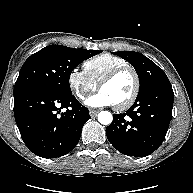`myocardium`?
Here are the masks:
<instances>
[{
    "mask_svg": "<svg viewBox=\"0 0 193 193\" xmlns=\"http://www.w3.org/2000/svg\"><path fill=\"white\" fill-rule=\"evenodd\" d=\"M126 71H130L133 74L134 89H133V92L130 95V97L125 102L118 104V105H115V109L119 110V111L126 110V109L130 108L135 103V101L139 95L140 88H141V81H140V76H139L137 70L129 64L123 65V66L117 67V68L113 69L112 71H110L109 73H107L98 83V88L101 89L104 85L111 82L117 76H119L121 73L126 72Z\"/></svg>",
    "mask_w": 193,
    "mask_h": 193,
    "instance_id": "obj_1",
    "label": "myocardium"
}]
</instances>
